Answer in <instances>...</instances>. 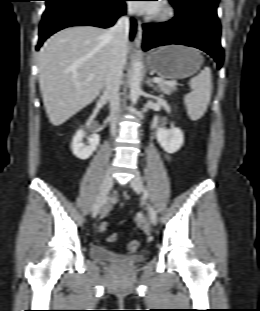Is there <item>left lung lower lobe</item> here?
<instances>
[{
    "label": "left lung lower lobe",
    "mask_w": 260,
    "mask_h": 311,
    "mask_svg": "<svg viewBox=\"0 0 260 311\" xmlns=\"http://www.w3.org/2000/svg\"><path fill=\"white\" fill-rule=\"evenodd\" d=\"M143 30L144 50L169 44L187 45L207 52L217 61L218 68L222 66L224 54L220 45V23L218 18L203 10H176L171 21L147 23Z\"/></svg>",
    "instance_id": "1"
}]
</instances>
